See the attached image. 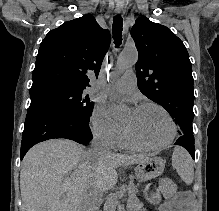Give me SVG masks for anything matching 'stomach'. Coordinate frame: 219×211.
Here are the masks:
<instances>
[{
    "label": "stomach",
    "instance_id": "0dacf381",
    "mask_svg": "<svg viewBox=\"0 0 219 211\" xmlns=\"http://www.w3.org/2000/svg\"><path fill=\"white\" fill-rule=\"evenodd\" d=\"M165 168V161L157 156H150L147 160L138 163L135 175L140 182H145L160 176Z\"/></svg>",
    "mask_w": 219,
    "mask_h": 211
}]
</instances>
